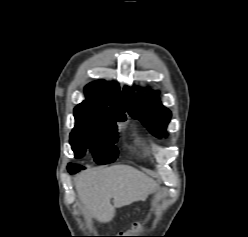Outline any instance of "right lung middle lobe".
<instances>
[{
	"mask_svg": "<svg viewBox=\"0 0 248 237\" xmlns=\"http://www.w3.org/2000/svg\"><path fill=\"white\" fill-rule=\"evenodd\" d=\"M75 127L70 133V144L76 158L85 154L87 149L93 153L96 163L102 165L113 162L118 157L114 143L118 140L116 121H125V116L98 117L74 111ZM82 168L69 164L68 171Z\"/></svg>",
	"mask_w": 248,
	"mask_h": 237,
	"instance_id": "right-lung-middle-lobe-1",
	"label": "right lung middle lobe"
}]
</instances>
